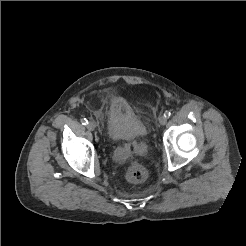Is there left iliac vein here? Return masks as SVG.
Returning <instances> with one entry per match:
<instances>
[{
	"mask_svg": "<svg viewBox=\"0 0 246 246\" xmlns=\"http://www.w3.org/2000/svg\"><path fill=\"white\" fill-rule=\"evenodd\" d=\"M159 123L161 125H165L167 123V118L165 116H160L159 117Z\"/></svg>",
	"mask_w": 246,
	"mask_h": 246,
	"instance_id": "left-iliac-vein-1",
	"label": "left iliac vein"
}]
</instances>
